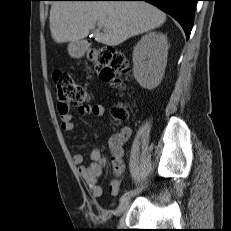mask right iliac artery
Returning <instances> with one entry per match:
<instances>
[{
  "label": "right iliac artery",
  "instance_id": "obj_1",
  "mask_svg": "<svg viewBox=\"0 0 231 231\" xmlns=\"http://www.w3.org/2000/svg\"><path fill=\"white\" fill-rule=\"evenodd\" d=\"M136 192V190H132V191H128L125 192L122 196H121V201L132 196L134 193Z\"/></svg>",
  "mask_w": 231,
  "mask_h": 231
}]
</instances>
